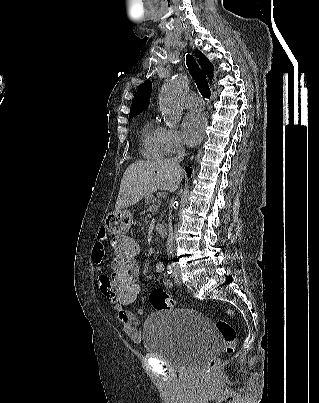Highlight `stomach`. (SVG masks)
<instances>
[{
  "label": "stomach",
  "mask_w": 319,
  "mask_h": 403,
  "mask_svg": "<svg viewBox=\"0 0 319 403\" xmlns=\"http://www.w3.org/2000/svg\"><path fill=\"white\" fill-rule=\"evenodd\" d=\"M133 224L132 213L122 210L110 212L105 219V227L111 234H130Z\"/></svg>",
  "instance_id": "stomach-1"
}]
</instances>
